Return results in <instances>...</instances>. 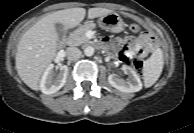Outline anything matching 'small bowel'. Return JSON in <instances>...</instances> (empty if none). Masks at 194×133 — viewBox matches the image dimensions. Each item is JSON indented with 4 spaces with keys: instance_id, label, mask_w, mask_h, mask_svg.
Listing matches in <instances>:
<instances>
[{
    "instance_id": "1",
    "label": "small bowel",
    "mask_w": 194,
    "mask_h": 133,
    "mask_svg": "<svg viewBox=\"0 0 194 133\" xmlns=\"http://www.w3.org/2000/svg\"><path fill=\"white\" fill-rule=\"evenodd\" d=\"M158 42L156 35L142 33L137 37L119 38L115 41L104 39L100 46L111 50L120 60H127L136 52L147 55Z\"/></svg>"
}]
</instances>
